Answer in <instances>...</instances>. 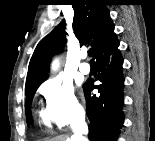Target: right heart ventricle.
I'll list each match as a JSON object with an SVG mask.
<instances>
[{
    "label": "right heart ventricle",
    "instance_id": "1",
    "mask_svg": "<svg viewBox=\"0 0 155 141\" xmlns=\"http://www.w3.org/2000/svg\"><path fill=\"white\" fill-rule=\"evenodd\" d=\"M42 120H43V122H44L45 124H47V118H46V116L43 115V114H42Z\"/></svg>",
    "mask_w": 155,
    "mask_h": 141
}]
</instances>
